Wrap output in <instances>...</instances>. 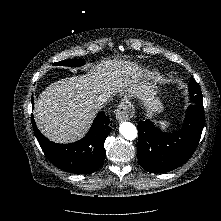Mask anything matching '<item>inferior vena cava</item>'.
Returning <instances> with one entry per match:
<instances>
[{
	"label": "inferior vena cava",
	"instance_id": "obj_1",
	"mask_svg": "<svg viewBox=\"0 0 221 221\" xmlns=\"http://www.w3.org/2000/svg\"><path fill=\"white\" fill-rule=\"evenodd\" d=\"M108 98L106 96L103 95H99L97 97V101L100 107H102L106 102H107Z\"/></svg>",
	"mask_w": 221,
	"mask_h": 221
}]
</instances>
